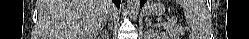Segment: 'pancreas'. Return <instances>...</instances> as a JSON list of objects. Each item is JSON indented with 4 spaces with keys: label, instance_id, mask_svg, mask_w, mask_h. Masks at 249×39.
<instances>
[{
    "label": "pancreas",
    "instance_id": "obj_1",
    "mask_svg": "<svg viewBox=\"0 0 249 39\" xmlns=\"http://www.w3.org/2000/svg\"><path fill=\"white\" fill-rule=\"evenodd\" d=\"M170 32H171V36H179V30L178 29H171L170 30Z\"/></svg>",
    "mask_w": 249,
    "mask_h": 39
}]
</instances>
